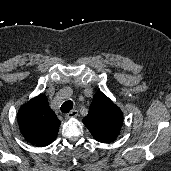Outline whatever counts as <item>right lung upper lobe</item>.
I'll use <instances>...</instances> for the list:
<instances>
[{"label": "right lung upper lobe", "instance_id": "cb5924a9", "mask_svg": "<svg viewBox=\"0 0 171 171\" xmlns=\"http://www.w3.org/2000/svg\"><path fill=\"white\" fill-rule=\"evenodd\" d=\"M17 119L25 140L37 146L52 143L61 123L50 109L45 95H39L23 105Z\"/></svg>", "mask_w": 171, "mask_h": 171}]
</instances>
